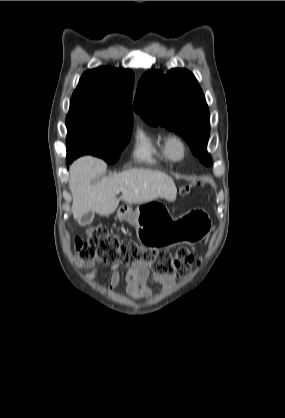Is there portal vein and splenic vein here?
<instances>
[{
  "label": "portal vein and splenic vein",
  "mask_w": 285,
  "mask_h": 418,
  "mask_svg": "<svg viewBox=\"0 0 285 418\" xmlns=\"http://www.w3.org/2000/svg\"><path fill=\"white\" fill-rule=\"evenodd\" d=\"M124 190L123 189H118L117 190V193H119V192H123Z\"/></svg>",
  "instance_id": "portal-vein-and-splenic-vein-1"
}]
</instances>
